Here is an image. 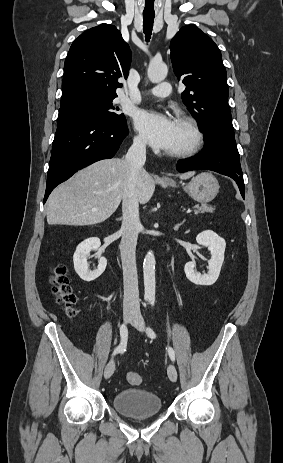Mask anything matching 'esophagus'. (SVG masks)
<instances>
[{
  "instance_id": "obj_1",
  "label": "esophagus",
  "mask_w": 283,
  "mask_h": 463,
  "mask_svg": "<svg viewBox=\"0 0 283 463\" xmlns=\"http://www.w3.org/2000/svg\"><path fill=\"white\" fill-rule=\"evenodd\" d=\"M162 179H163V180H168V178H167V177H164V176L162 177Z\"/></svg>"
}]
</instances>
